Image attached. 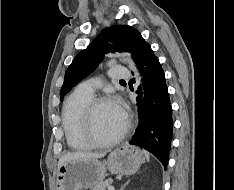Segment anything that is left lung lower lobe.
Wrapping results in <instances>:
<instances>
[{
    "label": "left lung lower lobe",
    "mask_w": 234,
    "mask_h": 190,
    "mask_svg": "<svg viewBox=\"0 0 234 190\" xmlns=\"http://www.w3.org/2000/svg\"><path fill=\"white\" fill-rule=\"evenodd\" d=\"M143 76L142 89L136 92L139 106V125L129 142L155 155L167 168L172 140L173 120L164 71L150 45L145 43L134 58Z\"/></svg>",
    "instance_id": "0a47b994"
}]
</instances>
